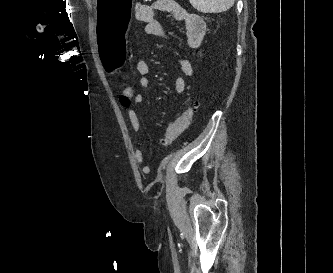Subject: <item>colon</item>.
Instances as JSON below:
<instances>
[{
	"instance_id": "obj_1",
	"label": "colon",
	"mask_w": 333,
	"mask_h": 273,
	"mask_svg": "<svg viewBox=\"0 0 333 273\" xmlns=\"http://www.w3.org/2000/svg\"><path fill=\"white\" fill-rule=\"evenodd\" d=\"M133 96L134 94L132 86L127 83L121 84L120 98H119L121 105L124 107H129L132 103ZM196 108L197 105L193 104L187 110H185L180 116H178L175 120L169 123L165 135L161 140L162 146H169L179 137V135L189 125Z\"/></svg>"
}]
</instances>
